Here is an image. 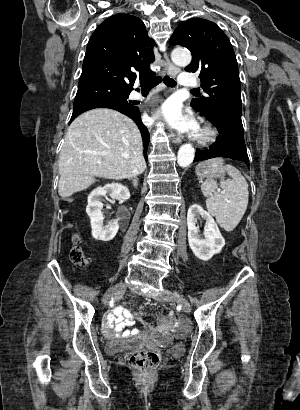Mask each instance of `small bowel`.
Instances as JSON below:
<instances>
[{
    "label": "small bowel",
    "instance_id": "c3829d8e",
    "mask_svg": "<svg viewBox=\"0 0 300 410\" xmlns=\"http://www.w3.org/2000/svg\"><path fill=\"white\" fill-rule=\"evenodd\" d=\"M135 322V317L121 306L114 307L105 316L103 334L106 338H128L137 334V330L129 327Z\"/></svg>",
    "mask_w": 300,
    "mask_h": 410
}]
</instances>
